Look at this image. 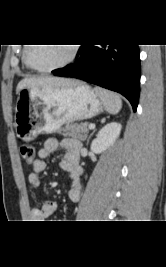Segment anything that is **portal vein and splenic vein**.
Instances as JSON below:
<instances>
[{
  "instance_id": "obj_1",
  "label": "portal vein and splenic vein",
  "mask_w": 166,
  "mask_h": 267,
  "mask_svg": "<svg viewBox=\"0 0 166 267\" xmlns=\"http://www.w3.org/2000/svg\"><path fill=\"white\" fill-rule=\"evenodd\" d=\"M88 128L91 130V129H94L95 128V125L94 124H90L89 126H88Z\"/></svg>"
}]
</instances>
